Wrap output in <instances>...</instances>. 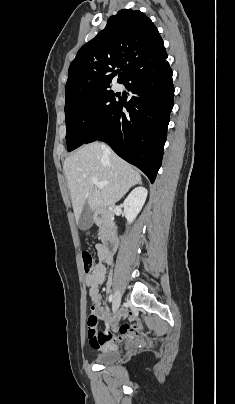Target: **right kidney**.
Wrapping results in <instances>:
<instances>
[{
  "instance_id": "ca27d5eb",
  "label": "right kidney",
  "mask_w": 235,
  "mask_h": 404,
  "mask_svg": "<svg viewBox=\"0 0 235 404\" xmlns=\"http://www.w3.org/2000/svg\"><path fill=\"white\" fill-rule=\"evenodd\" d=\"M148 191L145 187H137L135 188L125 199L123 203L125 217L127 222L130 224L134 221L136 216L141 211L146 198Z\"/></svg>"
}]
</instances>
